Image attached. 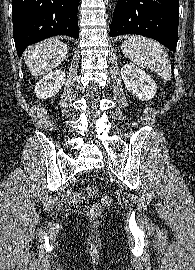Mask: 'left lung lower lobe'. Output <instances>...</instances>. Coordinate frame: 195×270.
I'll return each mask as SVG.
<instances>
[{"mask_svg":"<svg viewBox=\"0 0 195 270\" xmlns=\"http://www.w3.org/2000/svg\"><path fill=\"white\" fill-rule=\"evenodd\" d=\"M178 24L179 0H118L109 35H143L175 52Z\"/></svg>","mask_w":195,"mask_h":270,"instance_id":"left-lung-lower-lobe-1","label":"left lung lower lobe"}]
</instances>
